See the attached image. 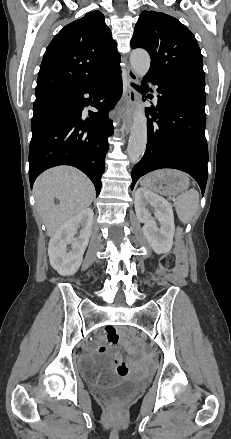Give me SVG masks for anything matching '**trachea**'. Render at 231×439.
I'll list each match as a JSON object with an SVG mask.
<instances>
[{
    "label": "trachea",
    "instance_id": "trachea-1",
    "mask_svg": "<svg viewBox=\"0 0 231 439\" xmlns=\"http://www.w3.org/2000/svg\"><path fill=\"white\" fill-rule=\"evenodd\" d=\"M132 85L134 86V87H136V88H138L136 85H134L133 83H132Z\"/></svg>",
    "mask_w": 231,
    "mask_h": 439
}]
</instances>
